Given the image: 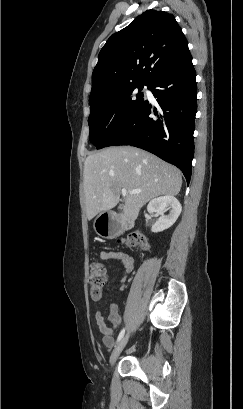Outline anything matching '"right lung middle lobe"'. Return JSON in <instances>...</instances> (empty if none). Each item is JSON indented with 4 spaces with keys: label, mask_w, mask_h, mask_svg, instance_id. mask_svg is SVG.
Segmentation results:
<instances>
[{
    "label": "right lung middle lobe",
    "mask_w": 243,
    "mask_h": 409,
    "mask_svg": "<svg viewBox=\"0 0 243 409\" xmlns=\"http://www.w3.org/2000/svg\"><path fill=\"white\" fill-rule=\"evenodd\" d=\"M148 84H131L90 103L89 138L97 149L107 147L144 103L141 90Z\"/></svg>",
    "instance_id": "1"
}]
</instances>
